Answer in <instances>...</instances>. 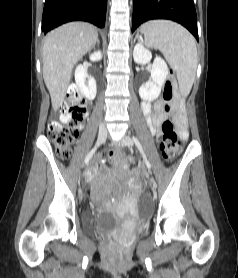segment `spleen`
I'll use <instances>...</instances> for the list:
<instances>
[{"mask_svg":"<svg viewBox=\"0 0 238 278\" xmlns=\"http://www.w3.org/2000/svg\"><path fill=\"white\" fill-rule=\"evenodd\" d=\"M141 32L147 46L159 49L176 71L181 93L187 95L193 85L198 64L194 37L181 25L167 20L145 23Z\"/></svg>","mask_w":238,"mask_h":278,"instance_id":"spleen-1","label":"spleen"}]
</instances>
